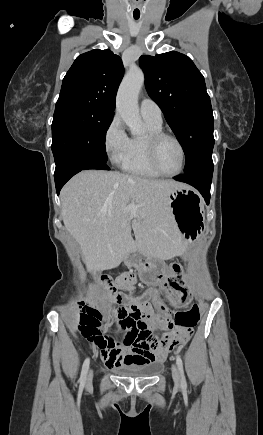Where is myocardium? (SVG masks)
<instances>
[{
  "mask_svg": "<svg viewBox=\"0 0 263 435\" xmlns=\"http://www.w3.org/2000/svg\"><path fill=\"white\" fill-rule=\"evenodd\" d=\"M165 139H170V140L174 141L178 145V147L180 148V151L182 154L181 167L178 171H176L174 173H167V172L163 171L160 168L158 161H157L158 146ZM146 148H147V157H148L149 164L151 165L153 170L155 172H157L159 175L165 176V177H173V176H177V175L181 174L184 171V169L186 167V162H187V154H186V150H185L183 143L175 135L164 132V131L151 133L146 138Z\"/></svg>",
  "mask_w": 263,
  "mask_h": 435,
  "instance_id": "obj_1",
  "label": "myocardium"
}]
</instances>
